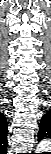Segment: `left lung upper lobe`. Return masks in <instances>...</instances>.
Segmentation results:
<instances>
[{"mask_svg": "<svg viewBox=\"0 0 51 154\" xmlns=\"http://www.w3.org/2000/svg\"><path fill=\"white\" fill-rule=\"evenodd\" d=\"M43 121H44V117H43L42 120H41L40 129H42ZM43 135H44V134H43V130H39L38 139H39V140L42 139Z\"/></svg>", "mask_w": 51, "mask_h": 154, "instance_id": "obj_1", "label": "left lung upper lobe"}]
</instances>
